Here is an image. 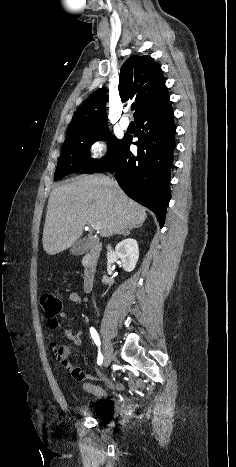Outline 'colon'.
Returning <instances> with one entry per match:
<instances>
[{"instance_id":"obj_1","label":"colon","mask_w":236,"mask_h":467,"mask_svg":"<svg viewBox=\"0 0 236 467\" xmlns=\"http://www.w3.org/2000/svg\"><path fill=\"white\" fill-rule=\"evenodd\" d=\"M40 304L46 317H54L59 314L62 309L61 300L50 293L41 294Z\"/></svg>"}]
</instances>
